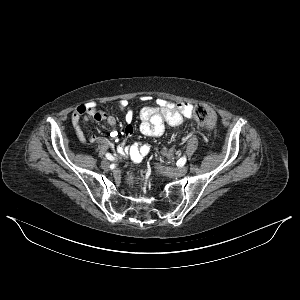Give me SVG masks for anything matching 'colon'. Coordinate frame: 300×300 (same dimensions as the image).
<instances>
[{
	"instance_id": "colon-1",
	"label": "colon",
	"mask_w": 300,
	"mask_h": 300,
	"mask_svg": "<svg viewBox=\"0 0 300 300\" xmlns=\"http://www.w3.org/2000/svg\"><path fill=\"white\" fill-rule=\"evenodd\" d=\"M194 119L202 126L213 128L217 122L215 112L206 104L198 103L193 109Z\"/></svg>"
}]
</instances>
